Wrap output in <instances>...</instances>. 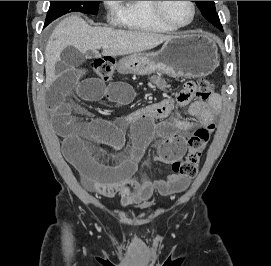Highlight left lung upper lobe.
I'll return each mask as SVG.
<instances>
[{"mask_svg":"<svg viewBox=\"0 0 271 266\" xmlns=\"http://www.w3.org/2000/svg\"><path fill=\"white\" fill-rule=\"evenodd\" d=\"M198 8L200 9L202 15L214 26L222 29V25L220 23L218 14L215 10V3L214 1H195Z\"/></svg>","mask_w":271,"mask_h":266,"instance_id":"obj_1","label":"left lung upper lobe"}]
</instances>
